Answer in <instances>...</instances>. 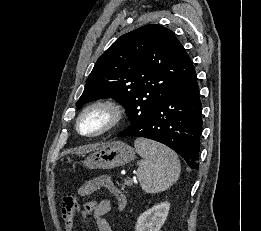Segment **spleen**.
Returning a JSON list of instances; mask_svg holds the SVG:
<instances>
[{
    "label": "spleen",
    "instance_id": "1",
    "mask_svg": "<svg viewBox=\"0 0 261 231\" xmlns=\"http://www.w3.org/2000/svg\"><path fill=\"white\" fill-rule=\"evenodd\" d=\"M134 146L144 159L137 170V177L145 192L165 191L178 180L180 161L172 150L145 138L136 139Z\"/></svg>",
    "mask_w": 261,
    "mask_h": 231
}]
</instances>
